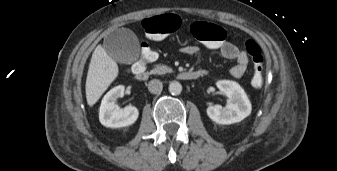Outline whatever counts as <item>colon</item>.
<instances>
[{"label":"colon","instance_id":"colon-1","mask_svg":"<svg viewBox=\"0 0 337 171\" xmlns=\"http://www.w3.org/2000/svg\"><path fill=\"white\" fill-rule=\"evenodd\" d=\"M180 18L176 15L166 14L146 18L143 27L147 36L153 40H160L166 35L175 32L180 27ZM191 34L201 41L204 48L217 50L224 44L226 32L219 25L204 21H196L191 26ZM245 50L250 56L253 64L252 85L260 88L264 82V56L258 43L249 39L245 43ZM141 60L139 66L145 64L154 65L158 61L157 54L153 51V46L149 42H144L140 46Z\"/></svg>","mask_w":337,"mask_h":171}]
</instances>
